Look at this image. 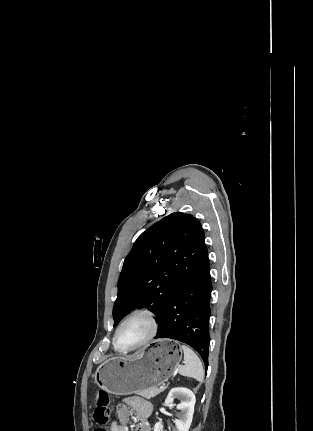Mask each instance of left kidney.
I'll use <instances>...</instances> for the list:
<instances>
[{
	"label": "left kidney",
	"mask_w": 313,
	"mask_h": 431,
	"mask_svg": "<svg viewBox=\"0 0 313 431\" xmlns=\"http://www.w3.org/2000/svg\"><path fill=\"white\" fill-rule=\"evenodd\" d=\"M174 398H179L181 402L177 404V409L180 410L179 419L174 421L176 430L175 431H188L193 418L194 405L196 398L194 393L187 388H173L170 390L165 404H170L174 401ZM154 431H164L161 422H157L154 426Z\"/></svg>",
	"instance_id": "5707ae66"
}]
</instances>
